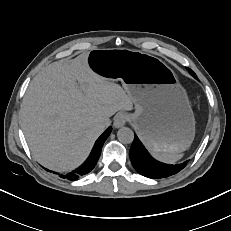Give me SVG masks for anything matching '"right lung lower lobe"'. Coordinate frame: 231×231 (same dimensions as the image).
I'll use <instances>...</instances> for the list:
<instances>
[{
    "label": "right lung lower lobe",
    "instance_id": "98d812e1",
    "mask_svg": "<svg viewBox=\"0 0 231 231\" xmlns=\"http://www.w3.org/2000/svg\"><path fill=\"white\" fill-rule=\"evenodd\" d=\"M112 128L109 127L96 141L93 150L89 156V158L86 160V162L80 166L78 169L69 172L67 174H62L60 175L62 178H67L69 180H75L78 179L79 177L88 174L92 169L95 167L100 154H101V149L102 146L105 142V140L108 138L109 134L111 133Z\"/></svg>",
    "mask_w": 231,
    "mask_h": 231
}]
</instances>
